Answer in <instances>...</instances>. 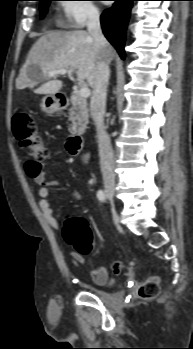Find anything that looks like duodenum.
Instances as JSON below:
<instances>
[{
	"instance_id": "410a0bca",
	"label": "duodenum",
	"mask_w": 193,
	"mask_h": 349,
	"mask_svg": "<svg viewBox=\"0 0 193 349\" xmlns=\"http://www.w3.org/2000/svg\"><path fill=\"white\" fill-rule=\"evenodd\" d=\"M58 102L60 103V105L65 106L68 104V98L60 97L58 98ZM66 146L71 155H79L83 146V137L78 134L71 136L68 139Z\"/></svg>"
}]
</instances>
